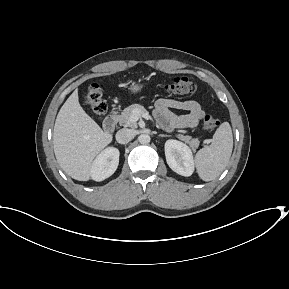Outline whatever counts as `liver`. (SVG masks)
Segmentation results:
<instances>
[{
    "label": "liver",
    "mask_w": 289,
    "mask_h": 289,
    "mask_svg": "<svg viewBox=\"0 0 289 289\" xmlns=\"http://www.w3.org/2000/svg\"><path fill=\"white\" fill-rule=\"evenodd\" d=\"M79 104L76 89L61 107L53 130V148L59 166L73 179L88 181L94 158L111 141Z\"/></svg>",
    "instance_id": "obj_1"
}]
</instances>
